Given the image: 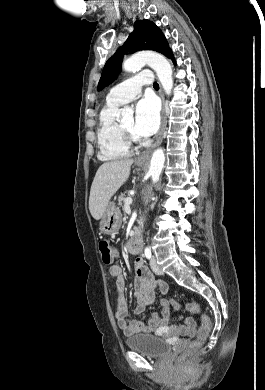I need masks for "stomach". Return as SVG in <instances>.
I'll return each mask as SVG.
<instances>
[{
    "mask_svg": "<svg viewBox=\"0 0 265 390\" xmlns=\"http://www.w3.org/2000/svg\"><path fill=\"white\" fill-rule=\"evenodd\" d=\"M138 167H143L144 164L137 163ZM100 230L104 234H114L121 226V212L118 207L110 202L100 220Z\"/></svg>",
    "mask_w": 265,
    "mask_h": 390,
    "instance_id": "1",
    "label": "stomach"
}]
</instances>
